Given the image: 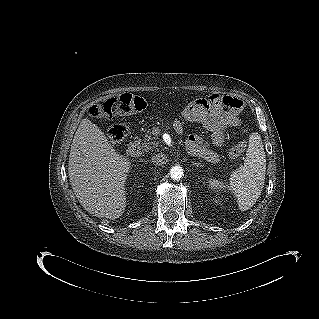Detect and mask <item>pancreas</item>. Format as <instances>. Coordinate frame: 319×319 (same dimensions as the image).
<instances>
[{"label":"pancreas","mask_w":319,"mask_h":319,"mask_svg":"<svg viewBox=\"0 0 319 319\" xmlns=\"http://www.w3.org/2000/svg\"><path fill=\"white\" fill-rule=\"evenodd\" d=\"M139 141L141 142V148L144 152L152 151L158 146V143L153 140V137L151 135L148 134L142 141L140 139Z\"/></svg>","instance_id":"obj_1"}]
</instances>
